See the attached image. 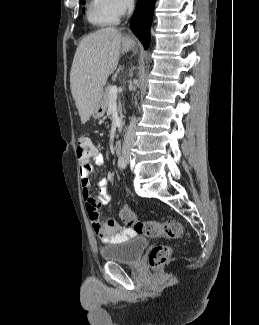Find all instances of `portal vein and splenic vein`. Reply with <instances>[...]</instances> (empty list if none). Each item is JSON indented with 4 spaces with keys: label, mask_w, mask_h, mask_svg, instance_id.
<instances>
[{
    "label": "portal vein and splenic vein",
    "mask_w": 259,
    "mask_h": 325,
    "mask_svg": "<svg viewBox=\"0 0 259 325\" xmlns=\"http://www.w3.org/2000/svg\"><path fill=\"white\" fill-rule=\"evenodd\" d=\"M117 92H118L117 86L114 85L110 87V100H116Z\"/></svg>",
    "instance_id": "1"
}]
</instances>
